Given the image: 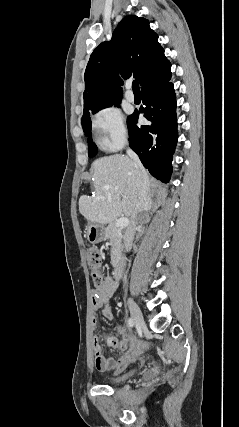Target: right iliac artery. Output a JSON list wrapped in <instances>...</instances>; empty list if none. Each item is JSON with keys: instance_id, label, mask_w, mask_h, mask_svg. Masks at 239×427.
I'll use <instances>...</instances> for the list:
<instances>
[{"instance_id": "right-iliac-artery-1", "label": "right iliac artery", "mask_w": 239, "mask_h": 427, "mask_svg": "<svg viewBox=\"0 0 239 427\" xmlns=\"http://www.w3.org/2000/svg\"><path fill=\"white\" fill-rule=\"evenodd\" d=\"M133 325H134V320L132 318H129V320H128V326L129 327H133Z\"/></svg>"}]
</instances>
